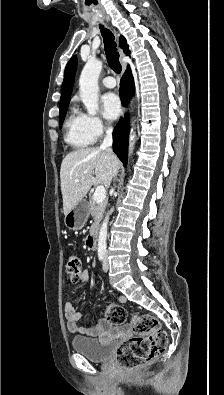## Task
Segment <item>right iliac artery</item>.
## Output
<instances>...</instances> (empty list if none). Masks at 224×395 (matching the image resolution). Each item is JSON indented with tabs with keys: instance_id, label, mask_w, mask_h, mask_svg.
<instances>
[{
	"instance_id": "82829eb1",
	"label": "right iliac artery",
	"mask_w": 224,
	"mask_h": 395,
	"mask_svg": "<svg viewBox=\"0 0 224 395\" xmlns=\"http://www.w3.org/2000/svg\"><path fill=\"white\" fill-rule=\"evenodd\" d=\"M106 257V251H99L98 252V258L100 261H103Z\"/></svg>"
}]
</instances>
